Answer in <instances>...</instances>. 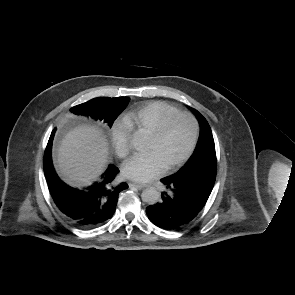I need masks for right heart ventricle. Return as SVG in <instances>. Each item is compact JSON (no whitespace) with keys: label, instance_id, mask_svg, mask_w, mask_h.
Listing matches in <instances>:
<instances>
[{"label":"right heart ventricle","instance_id":"1","mask_svg":"<svg viewBox=\"0 0 295 295\" xmlns=\"http://www.w3.org/2000/svg\"><path fill=\"white\" fill-rule=\"evenodd\" d=\"M177 111L178 108L166 102H149L125 114L123 123L130 130L151 133L164 117Z\"/></svg>","mask_w":295,"mask_h":295}]
</instances>
